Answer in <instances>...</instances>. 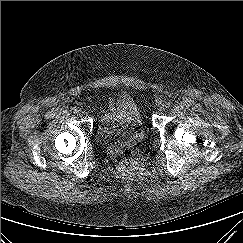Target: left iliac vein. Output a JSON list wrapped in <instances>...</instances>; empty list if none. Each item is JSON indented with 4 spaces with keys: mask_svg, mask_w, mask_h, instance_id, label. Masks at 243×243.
I'll return each instance as SVG.
<instances>
[{
    "mask_svg": "<svg viewBox=\"0 0 243 243\" xmlns=\"http://www.w3.org/2000/svg\"><path fill=\"white\" fill-rule=\"evenodd\" d=\"M159 108H160L161 111H164L166 109V105L162 104V105H160Z\"/></svg>",
    "mask_w": 243,
    "mask_h": 243,
    "instance_id": "1",
    "label": "left iliac vein"
}]
</instances>
